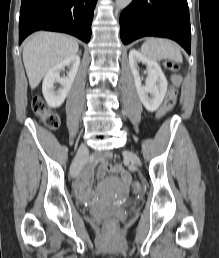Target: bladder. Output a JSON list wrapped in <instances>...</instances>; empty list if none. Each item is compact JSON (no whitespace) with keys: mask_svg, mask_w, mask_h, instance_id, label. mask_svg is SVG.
<instances>
[{"mask_svg":"<svg viewBox=\"0 0 219 258\" xmlns=\"http://www.w3.org/2000/svg\"><path fill=\"white\" fill-rule=\"evenodd\" d=\"M135 204H136L135 200H133V199H127V200L124 202L123 206L126 207V208H132V207L135 206Z\"/></svg>","mask_w":219,"mask_h":258,"instance_id":"bladder-1","label":"bladder"}]
</instances>
